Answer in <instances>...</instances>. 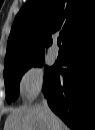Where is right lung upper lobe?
Instances as JSON below:
<instances>
[{
  "label": "right lung upper lobe",
  "instance_id": "cb5924a9",
  "mask_svg": "<svg viewBox=\"0 0 95 130\" xmlns=\"http://www.w3.org/2000/svg\"><path fill=\"white\" fill-rule=\"evenodd\" d=\"M95 30V0H28L15 17L4 70L44 58L51 34L60 31L63 47Z\"/></svg>",
  "mask_w": 95,
  "mask_h": 130
}]
</instances>
